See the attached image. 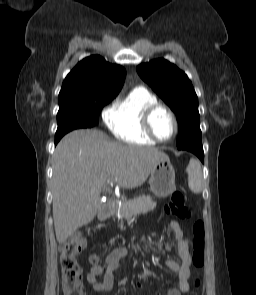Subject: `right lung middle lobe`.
I'll return each mask as SVG.
<instances>
[{"instance_id": "right-lung-middle-lobe-1", "label": "right lung middle lobe", "mask_w": 256, "mask_h": 295, "mask_svg": "<svg viewBox=\"0 0 256 295\" xmlns=\"http://www.w3.org/2000/svg\"><path fill=\"white\" fill-rule=\"evenodd\" d=\"M114 98L105 97L77 104L60 105L57 114L58 129L55 136H63L74 129L87 128L88 119L97 125L102 107Z\"/></svg>"}]
</instances>
